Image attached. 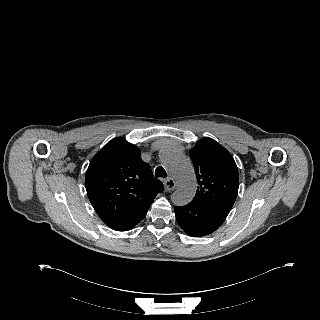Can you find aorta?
I'll list each match as a JSON object with an SVG mask.
<instances>
[{
  "label": "aorta",
  "mask_w": 320,
  "mask_h": 320,
  "mask_svg": "<svg viewBox=\"0 0 320 320\" xmlns=\"http://www.w3.org/2000/svg\"><path fill=\"white\" fill-rule=\"evenodd\" d=\"M163 165L178 181V188L172 194V202L177 206L190 203L196 193V177L190 160L180 151L165 149L161 154Z\"/></svg>",
  "instance_id": "obj_1"
}]
</instances>
